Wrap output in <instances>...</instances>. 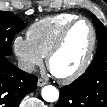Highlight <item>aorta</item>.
<instances>
[{
    "label": "aorta",
    "instance_id": "aorta-1",
    "mask_svg": "<svg viewBox=\"0 0 107 107\" xmlns=\"http://www.w3.org/2000/svg\"><path fill=\"white\" fill-rule=\"evenodd\" d=\"M42 98L47 102H55L59 98V91L52 85L44 86L41 92Z\"/></svg>",
    "mask_w": 107,
    "mask_h": 107
}]
</instances>
